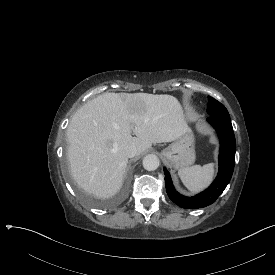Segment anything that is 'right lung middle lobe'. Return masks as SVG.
Here are the masks:
<instances>
[{"instance_id": "1", "label": "right lung middle lobe", "mask_w": 275, "mask_h": 275, "mask_svg": "<svg viewBox=\"0 0 275 275\" xmlns=\"http://www.w3.org/2000/svg\"><path fill=\"white\" fill-rule=\"evenodd\" d=\"M61 166H62V169H63V172L64 174L66 175V177L69 179L70 183H71V186L75 192V194L77 195L78 199L80 201H82L83 204H85L87 207L93 209V210H96V209H108V208H112L114 207L115 205L119 204L122 199H124L127 194H128V191H129V186L131 185L132 183V176L130 174H124L122 176V181H123V185L121 187V190L120 192L115 195L112 199H109L105 202H103L101 199H97V198H94L92 196H90L89 194H85L82 187L79 185V181L77 180L75 174L71 171V168H70V164H69V157H68V146L67 145H62L61 146Z\"/></svg>"}]
</instances>
